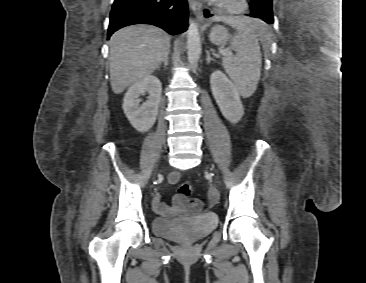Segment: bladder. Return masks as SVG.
Listing matches in <instances>:
<instances>
[{
  "instance_id": "1",
  "label": "bladder",
  "mask_w": 366,
  "mask_h": 283,
  "mask_svg": "<svg viewBox=\"0 0 366 283\" xmlns=\"http://www.w3.org/2000/svg\"><path fill=\"white\" fill-rule=\"evenodd\" d=\"M151 227L157 236L182 243H193L214 231L217 227V219L213 216L180 220L155 218Z\"/></svg>"
}]
</instances>
